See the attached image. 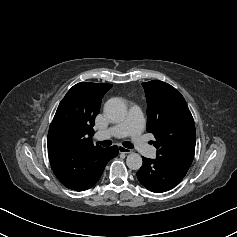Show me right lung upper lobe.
Wrapping results in <instances>:
<instances>
[{"label":"right lung upper lobe","mask_w":237,"mask_h":237,"mask_svg":"<svg viewBox=\"0 0 237 237\" xmlns=\"http://www.w3.org/2000/svg\"><path fill=\"white\" fill-rule=\"evenodd\" d=\"M111 84L81 82L74 85L60 102L50 124L47 146L76 153L96 148L91 140L92 127L100 104Z\"/></svg>","instance_id":"1"}]
</instances>
